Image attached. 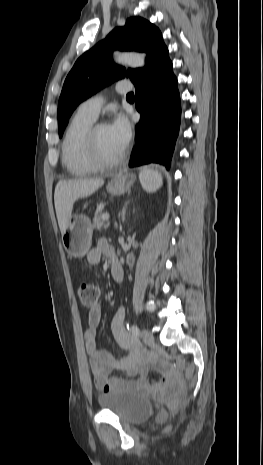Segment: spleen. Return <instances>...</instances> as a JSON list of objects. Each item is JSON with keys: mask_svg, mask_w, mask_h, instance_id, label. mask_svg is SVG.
Returning a JSON list of instances; mask_svg holds the SVG:
<instances>
[{"mask_svg": "<svg viewBox=\"0 0 263 465\" xmlns=\"http://www.w3.org/2000/svg\"><path fill=\"white\" fill-rule=\"evenodd\" d=\"M139 180L143 189L147 192H155L161 186L160 175L150 169H144L139 174Z\"/></svg>", "mask_w": 263, "mask_h": 465, "instance_id": "spleen-1", "label": "spleen"}]
</instances>
